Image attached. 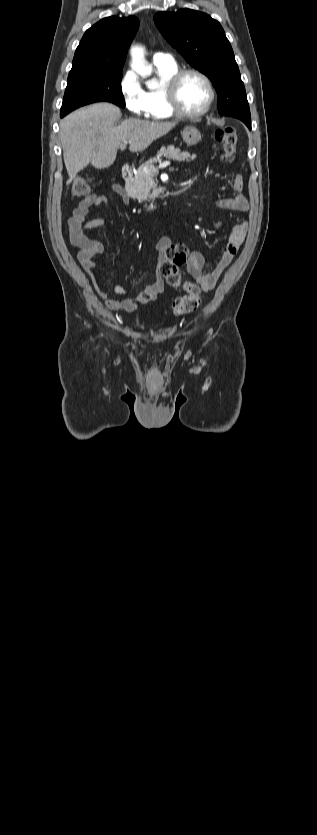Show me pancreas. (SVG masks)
<instances>
[{"mask_svg":"<svg viewBox=\"0 0 317 835\" xmlns=\"http://www.w3.org/2000/svg\"><path fill=\"white\" fill-rule=\"evenodd\" d=\"M163 156L179 162L185 160L188 162L190 159L196 157L195 155L191 156L186 151L180 152V149L175 148L173 145L162 147L157 156L142 164L136 171L135 176L127 182L126 191L129 197L140 201L154 199L159 196L160 190L156 188L157 185L153 180L157 171L144 172L143 169L154 167V163L160 162Z\"/></svg>","mask_w":317,"mask_h":835,"instance_id":"1","label":"pancreas"}]
</instances>
